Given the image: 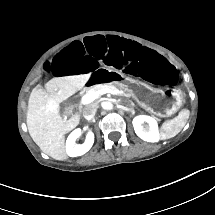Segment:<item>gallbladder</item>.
Returning a JSON list of instances; mask_svg holds the SVG:
<instances>
[{
  "mask_svg": "<svg viewBox=\"0 0 215 215\" xmlns=\"http://www.w3.org/2000/svg\"><path fill=\"white\" fill-rule=\"evenodd\" d=\"M75 111V107L71 106L69 108V106L65 105L64 107H62V112L66 115H70L71 113H73Z\"/></svg>",
  "mask_w": 215,
  "mask_h": 215,
  "instance_id": "bac80fb5",
  "label": "gallbladder"
}]
</instances>
